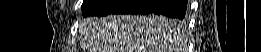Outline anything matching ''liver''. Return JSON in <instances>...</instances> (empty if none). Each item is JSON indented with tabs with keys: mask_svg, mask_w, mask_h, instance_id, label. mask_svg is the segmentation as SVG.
Segmentation results:
<instances>
[{
	"mask_svg": "<svg viewBox=\"0 0 261 52\" xmlns=\"http://www.w3.org/2000/svg\"><path fill=\"white\" fill-rule=\"evenodd\" d=\"M183 27L157 15L90 17L82 23L88 52H173Z\"/></svg>",
	"mask_w": 261,
	"mask_h": 52,
	"instance_id": "1",
	"label": "liver"
}]
</instances>
